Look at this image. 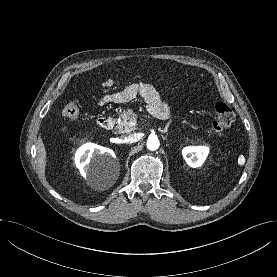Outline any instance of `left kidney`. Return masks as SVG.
Here are the masks:
<instances>
[{"mask_svg": "<svg viewBox=\"0 0 277 277\" xmlns=\"http://www.w3.org/2000/svg\"><path fill=\"white\" fill-rule=\"evenodd\" d=\"M209 153L208 147L199 146V147H185L182 150L183 157L187 164L191 167H199L201 166L207 155Z\"/></svg>", "mask_w": 277, "mask_h": 277, "instance_id": "obj_1", "label": "left kidney"}]
</instances>
